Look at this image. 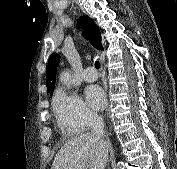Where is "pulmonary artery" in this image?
<instances>
[{
  "label": "pulmonary artery",
  "instance_id": "e3ab8cb5",
  "mask_svg": "<svg viewBox=\"0 0 177 169\" xmlns=\"http://www.w3.org/2000/svg\"><path fill=\"white\" fill-rule=\"evenodd\" d=\"M83 79L86 82H94V81H96L98 79V73L95 70V68L91 67V66L85 68V70L83 72Z\"/></svg>",
  "mask_w": 177,
  "mask_h": 169
}]
</instances>
